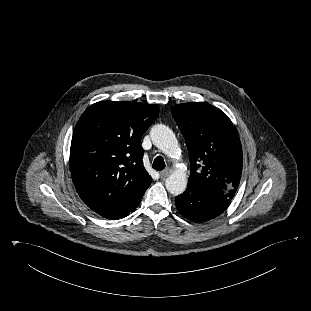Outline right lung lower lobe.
Listing matches in <instances>:
<instances>
[{
    "label": "right lung lower lobe",
    "mask_w": 311,
    "mask_h": 311,
    "mask_svg": "<svg viewBox=\"0 0 311 311\" xmlns=\"http://www.w3.org/2000/svg\"><path fill=\"white\" fill-rule=\"evenodd\" d=\"M140 201L136 203L131 209L125 212L116 213V214H100L102 217L110 220H117L126 217L130 212H133L139 205Z\"/></svg>",
    "instance_id": "obj_1"
}]
</instances>
